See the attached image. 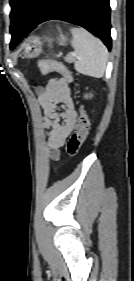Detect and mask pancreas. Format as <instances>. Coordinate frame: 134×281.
Wrapping results in <instances>:
<instances>
[{"label": "pancreas", "mask_w": 134, "mask_h": 281, "mask_svg": "<svg viewBox=\"0 0 134 281\" xmlns=\"http://www.w3.org/2000/svg\"><path fill=\"white\" fill-rule=\"evenodd\" d=\"M64 59L68 63H72L74 61V57L72 55H67Z\"/></svg>", "instance_id": "cf45deb5"}]
</instances>
